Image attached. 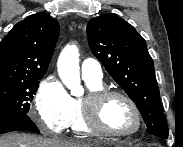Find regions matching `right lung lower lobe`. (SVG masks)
<instances>
[{
	"label": "right lung lower lobe",
	"mask_w": 183,
	"mask_h": 147,
	"mask_svg": "<svg viewBox=\"0 0 183 147\" xmlns=\"http://www.w3.org/2000/svg\"><path fill=\"white\" fill-rule=\"evenodd\" d=\"M11 131H30L39 133L38 128L27 114L9 115L0 118V134Z\"/></svg>",
	"instance_id": "98d812e1"
}]
</instances>
